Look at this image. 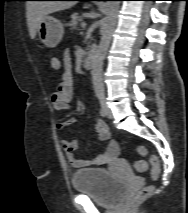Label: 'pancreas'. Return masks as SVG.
Instances as JSON below:
<instances>
[{
    "label": "pancreas",
    "mask_w": 188,
    "mask_h": 213,
    "mask_svg": "<svg viewBox=\"0 0 188 213\" xmlns=\"http://www.w3.org/2000/svg\"><path fill=\"white\" fill-rule=\"evenodd\" d=\"M82 21L81 16L78 13H73L70 16V21L66 23V26L70 27V30L77 29L78 24Z\"/></svg>",
    "instance_id": "obj_1"
}]
</instances>
